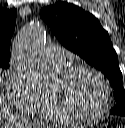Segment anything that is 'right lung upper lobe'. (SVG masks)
Returning a JSON list of instances; mask_svg holds the SVG:
<instances>
[{
	"label": "right lung upper lobe",
	"mask_w": 125,
	"mask_h": 128,
	"mask_svg": "<svg viewBox=\"0 0 125 128\" xmlns=\"http://www.w3.org/2000/svg\"><path fill=\"white\" fill-rule=\"evenodd\" d=\"M17 10L0 7V61H10V43L15 29Z\"/></svg>",
	"instance_id": "cb5924a9"
}]
</instances>
